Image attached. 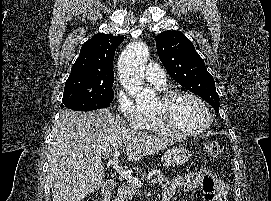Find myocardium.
Segmentation results:
<instances>
[{
    "mask_svg": "<svg viewBox=\"0 0 271 201\" xmlns=\"http://www.w3.org/2000/svg\"><path fill=\"white\" fill-rule=\"evenodd\" d=\"M180 97H187V98L193 99V100L197 101L199 104H201L204 107V109L206 110L208 118H209L207 124L201 128H198V129L183 130V129L176 127L167 118L163 117L162 115L155 114L154 117H155V120L158 123V125L167 134L173 135V136H180V137L200 134V133L206 131L207 129H209L214 122V115H213L209 105L207 104V102L204 99H202L200 96H198L192 92L185 91V90H171V91L165 92L162 95L161 100L165 101V102H170V101H173V100L180 98Z\"/></svg>",
    "mask_w": 271,
    "mask_h": 201,
    "instance_id": "1",
    "label": "myocardium"
}]
</instances>
